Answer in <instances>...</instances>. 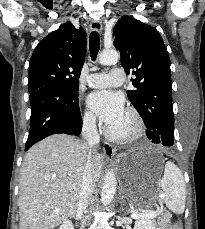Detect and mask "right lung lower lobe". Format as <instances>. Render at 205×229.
Segmentation results:
<instances>
[{"instance_id": "obj_1", "label": "right lung lower lobe", "mask_w": 205, "mask_h": 229, "mask_svg": "<svg viewBox=\"0 0 205 229\" xmlns=\"http://www.w3.org/2000/svg\"><path fill=\"white\" fill-rule=\"evenodd\" d=\"M31 124L25 151L34 143L57 133L79 135L82 118L78 94L50 85L30 93Z\"/></svg>"}]
</instances>
